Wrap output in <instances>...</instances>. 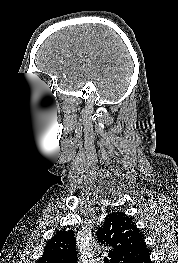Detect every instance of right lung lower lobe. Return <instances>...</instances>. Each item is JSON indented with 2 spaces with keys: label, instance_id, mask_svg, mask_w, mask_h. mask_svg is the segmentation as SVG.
Listing matches in <instances>:
<instances>
[{
  "label": "right lung lower lobe",
  "instance_id": "1",
  "mask_svg": "<svg viewBox=\"0 0 178 263\" xmlns=\"http://www.w3.org/2000/svg\"><path fill=\"white\" fill-rule=\"evenodd\" d=\"M135 263H152L150 260L149 251L146 252L143 256H141Z\"/></svg>",
  "mask_w": 178,
  "mask_h": 263
}]
</instances>
